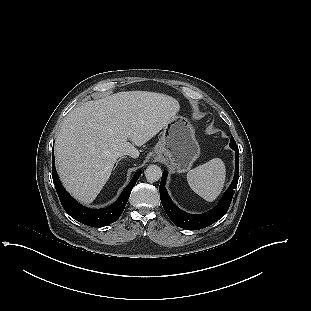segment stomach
Returning a JSON list of instances; mask_svg holds the SVG:
<instances>
[{
  "instance_id": "1",
  "label": "stomach",
  "mask_w": 311,
  "mask_h": 311,
  "mask_svg": "<svg viewBox=\"0 0 311 311\" xmlns=\"http://www.w3.org/2000/svg\"><path fill=\"white\" fill-rule=\"evenodd\" d=\"M154 153L156 156H165L177 172L188 171L200 154L190 122L182 116H176L170 121L164 127Z\"/></svg>"
}]
</instances>
